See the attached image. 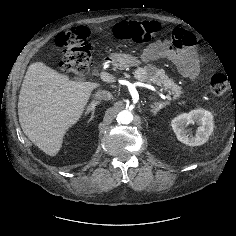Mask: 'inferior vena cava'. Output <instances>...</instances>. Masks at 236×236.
Returning <instances> with one entry per match:
<instances>
[{
  "label": "inferior vena cava",
  "mask_w": 236,
  "mask_h": 236,
  "mask_svg": "<svg viewBox=\"0 0 236 236\" xmlns=\"http://www.w3.org/2000/svg\"><path fill=\"white\" fill-rule=\"evenodd\" d=\"M95 97L96 99H99V100H105V101H108V100H111L113 95L109 92V91H106V90H98L96 93H95Z\"/></svg>",
  "instance_id": "602c4592"
}]
</instances>
